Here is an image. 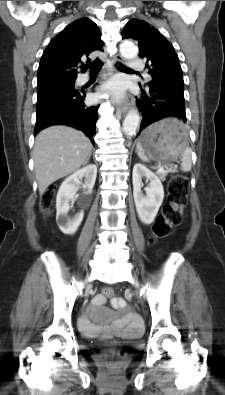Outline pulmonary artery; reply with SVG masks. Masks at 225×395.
<instances>
[{
    "label": "pulmonary artery",
    "mask_w": 225,
    "mask_h": 395,
    "mask_svg": "<svg viewBox=\"0 0 225 395\" xmlns=\"http://www.w3.org/2000/svg\"><path fill=\"white\" fill-rule=\"evenodd\" d=\"M130 67L133 69V70H138V71H141V70H143L144 69V64L142 63V61L140 60V59H132L131 61H130ZM145 76L147 77V78H150V76L148 75V74H145ZM89 80V77L87 76V75H83V76H81L80 78H79V82L80 83H85V82H87Z\"/></svg>",
    "instance_id": "e3ab8cb5"
}]
</instances>
